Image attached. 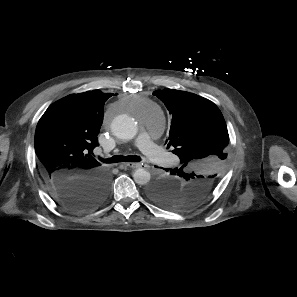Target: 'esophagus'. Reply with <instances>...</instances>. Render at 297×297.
Wrapping results in <instances>:
<instances>
[{"label": "esophagus", "instance_id": "1", "mask_svg": "<svg viewBox=\"0 0 297 297\" xmlns=\"http://www.w3.org/2000/svg\"><path fill=\"white\" fill-rule=\"evenodd\" d=\"M124 165L130 168H139L142 166L141 163H132V162L125 163Z\"/></svg>", "mask_w": 297, "mask_h": 297}]
</instances>
